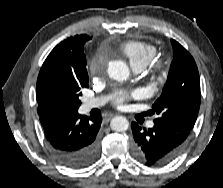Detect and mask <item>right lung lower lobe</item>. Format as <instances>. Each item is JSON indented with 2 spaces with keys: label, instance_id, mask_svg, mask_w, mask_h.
I'll list each match as a JSON object with an SVG mask.
<instances>
[{
  "label": "right lung lower lobe",
  "instance_id": "obj_1",
  "mask_svg": "<svg viewBox=\"0 0 223 188\" xmlns=\"http://www.w3.org/2000/svg\"><path fill=\"white\" fill-rule=\"evenodd\" d=\"M49 149L63 165L80 169L99 156L97 135L102 118H88L77 111L40 118Z\"/></svg>",
  "mask_w": 223,
  "mask_h": 188
}]
</instances>
